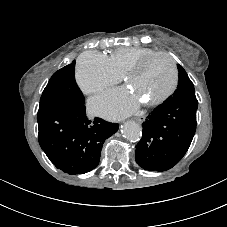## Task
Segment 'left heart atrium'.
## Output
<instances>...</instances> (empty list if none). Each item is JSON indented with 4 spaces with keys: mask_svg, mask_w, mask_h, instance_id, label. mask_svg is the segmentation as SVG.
<instances>
[{
    "mask_svg": "<svg viewBox=\"0 0 227 227\" xmlns=\"http://www.w3.org/2000/svg\"><path fill=\"white\" fill-rule=\"evenodd\" d=\"M140 100L126 88L109 90L90 102L92 111L111 119H118L133 113Z\"/></svg>",
    "mask_w": 227,
    "mask_h": 227,
    "instance_id": "1",
    "label": "left heart atrium"
}]
</instances>
